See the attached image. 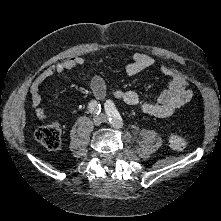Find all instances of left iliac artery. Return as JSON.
Instances as JSON below:
<instances>
[{"label": "left iliac artery", "instance_id": "left-iliac-artery-1", "mask_svg": "<svg viewBox=\"0 0 221 221\" xmlns=\"http://www.w3.org/2000/svg\"><path fill=\"white\" fill-rule=\"evenodd\" d=\"M105 110L109 122L116 128H122L123 126L122 117L111 100L106 101Z\"/></svg>", "mask_w": 221, "mask_h": 221}]
</instances>
